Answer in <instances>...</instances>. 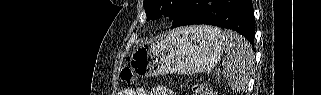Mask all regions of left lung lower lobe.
Masks as SVG:
<instances>
[{
    "mask_svg": "<svg viewBox=\"0 0 321 95\" xmlns=\"http://www.w3.org/2000/svg\"><path fill=\"white\" fill-rule=\"evenodd\" d=\"M170 20L173 27L206 24L232 29L254 45L252 0H186Z\"/></svg>",
    "mask_w": 321,
    "mask_h": 95,
    "instance_id": "0a47b994",
    "label": "left lung lower lobe"
}]
</instances>
